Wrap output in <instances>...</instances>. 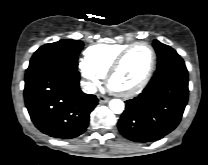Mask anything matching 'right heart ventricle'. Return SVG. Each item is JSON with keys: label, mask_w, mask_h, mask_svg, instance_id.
Here are the masks:
<instances>
[{"label": "right heart ventricle", "mask_w": 208, "mask_h": 165, "mask_svg": "<svg viewBox=\"0 0 208 165\" xmlns=\"http://www.w3.org/2000/svg\"><path fill=\"white\" fill-rule=\"evenodd\" d=\"M131 44L98 43L84 51V60L100 76H105L118 54Z\"/></svg>", "instance_id": "1"}]
</instances>
